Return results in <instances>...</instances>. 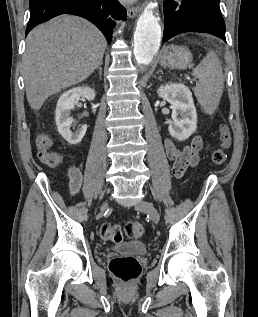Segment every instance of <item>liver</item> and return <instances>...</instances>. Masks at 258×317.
Segmentation results:
<instances>
[{"instance_id":"liver-1","label":"liver","mask_w":258,"mask_h":317,"mask_svg":"<svg viewBox=\"0 0 258 317\" xmlns=\"http://www.w3.org/2000/svg\"><path fill=\"white\" fill-rule=\"evenodd\" d=\"M107 40L80 16H57L26 38L23 72L27 100L39 110L50 94L85 80L101 62Z\"/></svg>"}]
</instances>
